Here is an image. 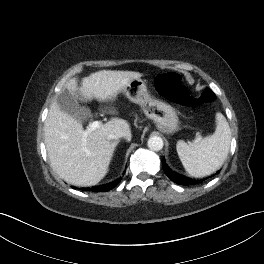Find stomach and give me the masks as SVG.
I'll return each instance as SVG.
<instances>
[{
  "label": "stomach",
  "instance_id": "obj_1",
  "mask_svg": "<svg viewBox=\"0 0 264 264\" xmlns=\"http://www.w3.org/2000/svg\"><path fill=\"white\" fill-rule=\"evenodd\" d=\"M130 101L138 104L145 116L151 119L158 127L167 132L179 129V119L175 109L150 95L144 80L134 79L121 90Z\"/></svg>",
  "mask_w": 264,
  "mask_h": 264
}]
</instances>
